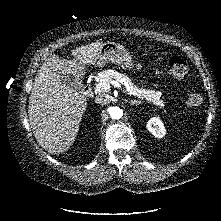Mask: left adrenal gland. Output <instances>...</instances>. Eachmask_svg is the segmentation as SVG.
<instances>
[{
  "mask_svg": "<svg viewBox=\"0 0 221 221\" xmlns=\"http://www.w3.org/2000/svg\"><path fill=\"white\" fill-rule=\"evenodd\" d=\"M129 103H130L131 106H132V105H137V104H138L136 101H131V102H129Z\"/></svg>",
  "mask_w": 221,
  "mask_h": 221,
  "instance_id": "obj_1",
  "label": "left adrenal gland"
}]
</instances>
